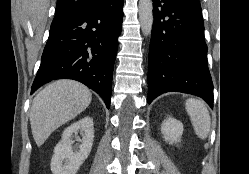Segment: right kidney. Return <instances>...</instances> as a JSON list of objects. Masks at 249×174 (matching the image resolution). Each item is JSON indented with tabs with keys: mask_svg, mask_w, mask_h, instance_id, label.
Instances as JSON below:
<instances>
[{
	"mask_svg": "<svg viewBox=\"0 0 249 174\" xmlns=\"http://www.w3.org/2000/svg\"><path fill=\"white\" fill-rule=\"evenodd\" d=\"M78 133L82 139L78 137ZM75 137L79 150H73ZM94 138L93 119L84 117L79 121L68 126L59 143L54 148V154L51 159V171L53 174H76L80 166L89 156Z\"/></svg>",
	"mask_w": 249,
	"mask_h": 174,
	"instance_id": "1",
	"label": "right kidney"
}]
</instances>
